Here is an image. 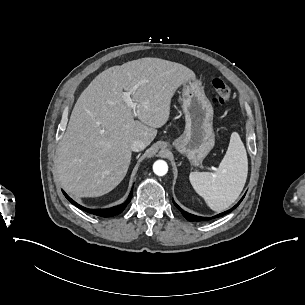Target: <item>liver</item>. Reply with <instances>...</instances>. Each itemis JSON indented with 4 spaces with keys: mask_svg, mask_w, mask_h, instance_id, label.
I'll return each mask as SVG.
<instances>
[{
    "mask_svg": "<svg viewBox=\"0 0 305 305\" xmlns=\"http://www.w3.org/2000/svg\"><path fill=\"white\" fill-rule=\"evenodd\" d=\"M195 80L190 69L155 58L98 75L79 97L59 143L57 174L65 190L81 197L112 191L128 171L130 142L139 139L149 145L156 129L168 122L177 90ZM124 92L134 104L124 101Z\"/></svg>",
    "mask_w": 305,
    "mask_h": 305,
    "instance_id": "liver-1",
    "label": "liver"
}]
</instances>
